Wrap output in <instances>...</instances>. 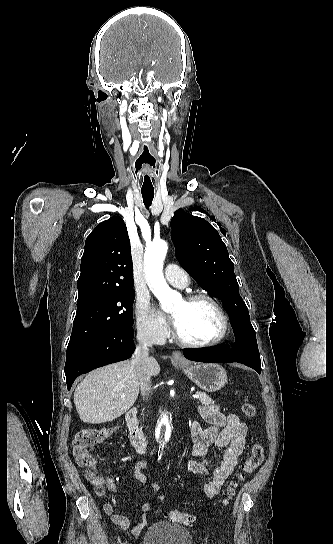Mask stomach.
Returning <instances> with one entry per match:
<instances>
[{"label":"stomach","mask_w":333,"mask_h":544,"mask_svg":"<svg viewBox=\"0 0 333 544\" xmlns=\"http://www.w3.org/2000/svg\"><path fill=\"white\" fill-rule=\"evenodd\" d=\"M176 366L181 368L187 377L204 391H219L227 383L226 371L219 364L199 363L184 365L176 363Z\"/></svg>","instance_id":"stomach-1"}]
</instances>
